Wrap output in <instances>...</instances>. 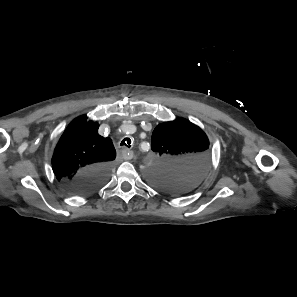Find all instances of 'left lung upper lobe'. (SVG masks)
Listing matches in <instances>:
<instances>
[{"label":"left lung upper lobe","instance_id":"1","mask_svg":"<svg viewBox=\"0 0 297 297\" xmlns=\"http://www.w3.org/2000/svg\"><path fill=\"white\" fill-rule=\"evenodd\" d=\"M155 165L149 182L170 195L182 194L203 179L210 160L209 140L195 124L185 119L164 122L152 133Z\"/></svg>","mask_w":297,"mask_h":297}]
</instances>
